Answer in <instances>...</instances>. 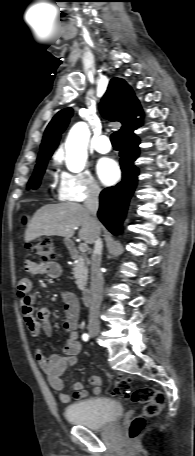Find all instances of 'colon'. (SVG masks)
Here are the masks:
<instances>
[{"mask_svg": "<svg viewBox=\"0 0 195 456\" xmlns=\"http://www.w3.org/2000/svg\"><path fill=\"white\" fill-rule=\"evenodd\" d=\"M55 248V242L50 238L28 245V249L44 262L55 258ZM113 395L142 405V414L134 417L129 424L130 438H136L142 432L146 419L157 416L166 401L165 394L152 387H142L131 392V382L127 377L116 378Z\"/></svg>", "mask_w": 195, "mask_h": 456, "instance_id": "obj_1", "label": "colon"}]
</instances>
